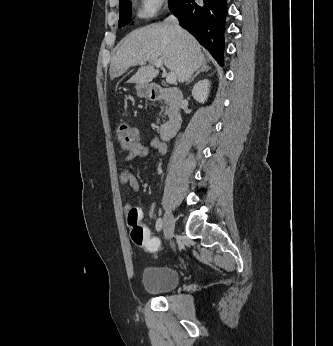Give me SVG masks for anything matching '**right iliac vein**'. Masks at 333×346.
<instances>
[{"label": "right iliac vein", "mask_w": 333, "mask_h": 346, "mask_svg": "<svg viewBox=\"0 0 333 346\" xmlns=\"http://www.w3.org/2000/svg\"><path fill=\"white\" fill-rule=\"evenodd\" d=\"M174 229V219L171 211H167L164 217V224H163V230H164V237L166 240H169L172 237Z\"/></svg>", "instance_id": "right-iliac-vein-1"}]
</instances>
